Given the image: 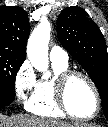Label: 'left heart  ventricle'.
Here are the masks:
<instances>
[{
	"label": "left heart ventricle",
	"mask_w": 108,
	"mask_h": 127,
	"mask_svg": "<svg viewBox=\"0 0 108 127\" xmlns=\"http://www.w3.org/2000/svg\"><path fill=\"white\" fill-rule=\"evenodd\" d=\"M69 108L78 116L87 117L94 113L96 98L93 90L82 78H74L67 90Z\"/></svg>",
	"instance_id": "1"
}]
</instances>
